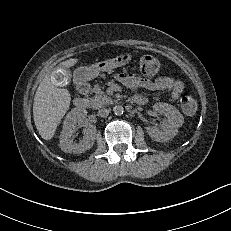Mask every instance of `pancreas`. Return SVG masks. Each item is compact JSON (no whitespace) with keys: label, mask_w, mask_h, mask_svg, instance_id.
I'll return each instance as SVG.
<instances>
[{"label":"pancreas","mask_w":231,"mask_h":231,"mask_svg":"<svg viewBox=\"0 0 231 231\" xmlns=\"http://www.w3.org/2000/svg\"><path fill=\"white\" fill-rule=\"evenodd\" d=\"M92 91L95 93V95L90 98V106L92 108L98 109L106 105H110L113 102V100L104 93L98 84L94 86Z\"/></svg>","instance_id":"cf45deb5"}]
</instances>
